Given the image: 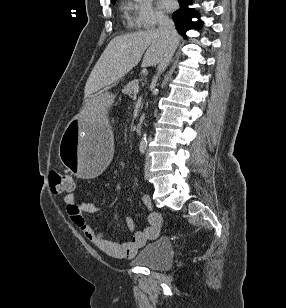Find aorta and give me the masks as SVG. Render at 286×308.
Returning <instances> with one entry per match:
<instances>
[{
  "label": "aorta",
  "instance_id": "1",
  "mask_svg": "<svg viewBox=\"0 0 286 308\" xmlns=\"http://www.w3.org/2000/svg\"><path fill=\"white\" fill-rule=\"evenodd\" d=\"M136 2H141L142 0H135ZM147 144V138H146V135L144 134V136L142 137V140H141V145H145Z\"/></svg>",
  "mask_w": 286,
  "mask_h": 308
}]
</instances>
